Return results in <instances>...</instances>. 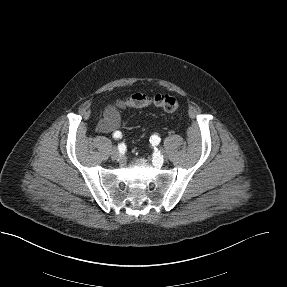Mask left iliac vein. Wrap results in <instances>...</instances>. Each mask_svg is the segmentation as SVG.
I'll return each instance as SVG.
<instances>
[{"label": "left iliac vein", "instance_id": "1", "mask_svg": "<svg viewBox=\"0 0 287 287\" xmlns=\"http://www.w3.org/2000/svg\"><path fill=\"white\" fill-rule=\"evenodd\" d=\"M167 159L166 155L161 153L159 154L156 159H155V164L158 166V165H161L163 163V161H165Z\"/></svg>", "mask_w": 287, "mask_h": 287}]
</instances>
